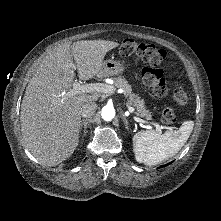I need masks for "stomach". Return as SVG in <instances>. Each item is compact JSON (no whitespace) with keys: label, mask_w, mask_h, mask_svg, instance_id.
Masks as SVG:
<instances>
[{"label":"stomach","mask_w":221,"mask_h":221,"mask_svg":"<svg viewBox=\"0 0 221 221\" xmlns=\"http://www.w3.org/2000/svg\"><path fill=\"white\" fill-rule=\"evenodd\" d=\"M125 70L124 62L116 60H105L102 64L100 74L102 76L120 75Z\"/></svg>","instance_id":"stomach-1"}]
</instances>
